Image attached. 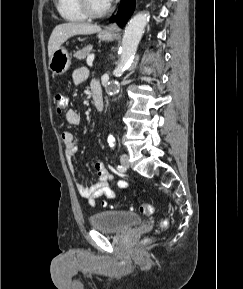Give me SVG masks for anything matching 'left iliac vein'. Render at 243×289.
<instances>
[{"instance_id":"1","label":"left iliac vein","mask_w":243,"mask_h":289,"mask_svg":"<svg viewBox=\"0 0 243 289\" xmlns=\"http://www.w3.org/2000/svg\"><path fill=\"white\" fill-rule=\"evenodd\" d=\"M121 164L124 167V169L128 168L130 163H129V156L127 154H123L120 158Z\"/></svg>"}]
</instances>
